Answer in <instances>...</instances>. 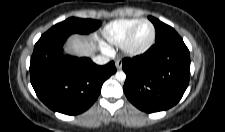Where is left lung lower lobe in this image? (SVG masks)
I'll return each instance as SVG.
<instances>
[{"label": "left lung lower lobe", "instance_id": "obj_1", "mask_svg": "<svg viewBox=\"0 0 225 132\" xmlns=\"http://www.w3.org/2000/svg\"><path fill=\"white\" fill-rule=\"evenodd\" d=\"M152 23L158 19L149 17ZM124 93L138 109L152 113L182 98L190 78V54L180 36L155 43L144 54L122 60Z\"/></svg>", "mask_w": 225, "mask_h": 132}]
</instances>
